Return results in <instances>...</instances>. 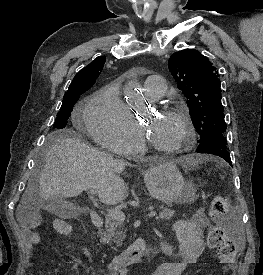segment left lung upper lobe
Returning <instances> with one entry per match:
<instances>
[{
  "mask_svg": "<svg viewBox=\"0 0 263 275\" xmlns=\"http://www.w3.org/2000/svg\"><path fill=\"white\" fill-rule=\"evenodd\" d=\"M168 64L178 88L187 98L192 123L199 135L198 143L224 134L221 83L208 58L196 50L185 49L174 53Z\"/></svg>",
  "mask_w": 263,
  "mask_h": 275,
  "instance_id": "left-lung-upper-lobe-1",
  "label": "left lung upper lobe"
}]
</instances>
